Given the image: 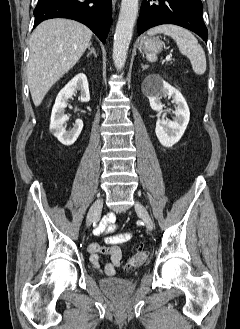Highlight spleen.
Listing matches in <instances>:
<instances>
[{"mask_svg":"<svg viewBox=\"0 0 240 329\" xmlns=\"http://www.w3.org/2000/svg\"><path fill=\"white\" fill-rule=\"evenodd\" d=\"M157 33H163L174 39L181 54L187 56L190 59L193 71L202 75L206 71V57L205 52L201 45L198 44L195 36L188 31L177 25L164 24L147 31L148 35H154ZM147 60L154 62L157 60L155 54H148Z\"/></svg>","mask_w":240,"mask_h":329,"instance_id":"1","label":"spleen"}]
</instances>
